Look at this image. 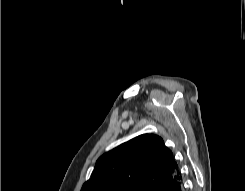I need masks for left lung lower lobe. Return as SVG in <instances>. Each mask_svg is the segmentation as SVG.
Masks as SVG:
<instances>
[{"mask_svg":"<svg viewBox=\"0 0 245 191\" xmlns=\"http://www.w3.org/2000/svg\"><path fill=\"white\" fill-rule=\"evenodd\" d=\"M157 191H183V179L178 165Z\"/></svg>","mask_w":245,"mask_h":191,"instance_id":"1","label":"left lung lower lobe"}]
</instances>
